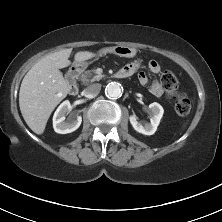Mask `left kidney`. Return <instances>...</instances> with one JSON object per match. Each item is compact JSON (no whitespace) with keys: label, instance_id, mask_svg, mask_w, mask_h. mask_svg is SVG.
I'll return each mask as SVG.
<instances>
[{"label":"left kidney","instance_id":"5707ae66","mask_svg":"<svg viewBox=\"0 0 222 222\" xmlns=\"http://www.w3.org/2000/svg\"><path fill=\"white\" fill-rule=\"evenodd\" d=\"M149 112L151 114L150 123H146L145 125L139 123L135 115H131L129 118L133 128L144 135H153L155 133L163 116L164 109L159 103L154 102L149 105Z\"/></svg>","mask_w":222,"mask_h":222}]
</instances>
